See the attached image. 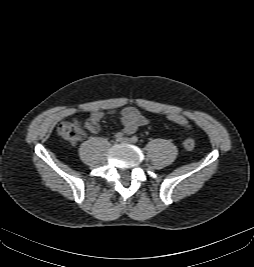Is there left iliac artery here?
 I'll use <instances>...</instances> for the list:
<instances>
[{
	"label": "left iliac artery",
	"mask_w": 254,
	"mask_h": 267,
	"mask_svg": "<svg viewBox=\"0 0 254 267\" xmlns=\"http://www.w3.org/2000/svg\"><path fill=\"white\" fill-rule=\"evenodd\" d=\"M131 140L133 143H137L138 142V137L137 136H132Z\"/></svg>",
	"instance_id": "left-iliac-artery-1"
}]
</instances>
